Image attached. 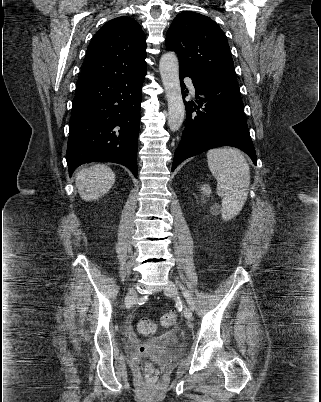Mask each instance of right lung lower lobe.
Segmentation results:
<instances>
[{
  "mask_svg": "<svg viewBox=\"0 0 321 402\" xmlns=\"http://www.w3.org/2000/svg\"><path fill=\"white\" fill-rule=\"evenodd\" d=\"M146 71L76 83L66 153L70 176L84 163L128 167L137 178L141 87Z\"/></svg>",
  "mask_w": 321,
  "mask_h": 402,
  "instance_id": "right-lung-lower-lobe-1",
  "label": "right lung lower lobe"
}]
</instances>
